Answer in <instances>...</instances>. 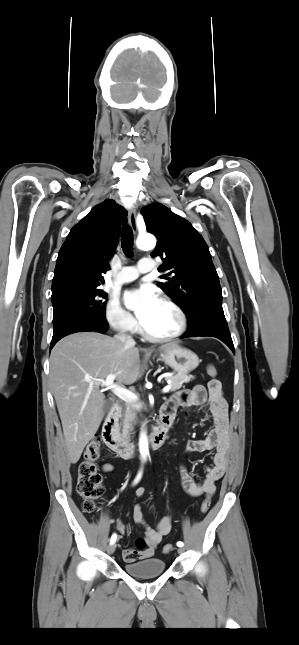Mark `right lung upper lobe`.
<instances>
[{"instance_id": "right-lung-upper-lobe-1", "label": "right lung upper lobe", "mask_w": 299, "mask_h": 645, "mask_svg": "<svg viewBox=\"0 0 299 645\" xmlns=\"http://www.w3.org/2000/svg\"><path fill=\"white\" fill-rule=\"evenodd\" d=\"M127 212L113 200L92 208L70 231L56 262L52 295L70 288H98L116 249Z\"/></svg>"}]
</instances>
